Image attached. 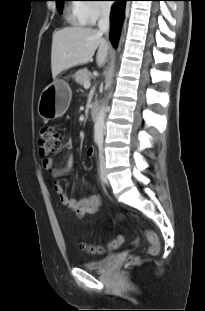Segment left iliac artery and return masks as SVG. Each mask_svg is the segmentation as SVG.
Masks as SVG:
<instances>
[{"mask_svg": "<svg viewBox=\"0 0 205 311\" xmlns=\"http://www.w3.org/2000/svg\"><path fill=\"white\" fill-rule=\"evenodd\" d=\"M98 148H99V152L101 153L103 150V143L102 142H98Z\"/></svg>", "mask_w": 205, "mask_h": 311, "instance_id": "44dca946", "label": "left iliac artery"}]
</instances>
